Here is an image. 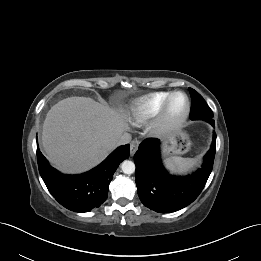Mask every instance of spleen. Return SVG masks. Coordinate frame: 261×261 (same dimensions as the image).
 <instances>
[{"label":"spleen","instance_id":"obj_1","mask_svg":"<svg viewBox=\"0 0 261 261\" xmlns=\"http://www.w3.org/2000/svg\"><path fill=\"white\" fill-rule=\"evenodd\" d=\"M166 167L175 173H183L189 170L196 162L193 158H183L178 156H173L167 158L165 161Z\"/></svg>","mask_w":261,"mask_h":261}]
</instances>
